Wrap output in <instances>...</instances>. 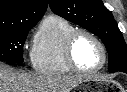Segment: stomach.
Instances as JSON below:
<instances>
[{
  "mask_svg": "<svg viewBox=\"0 0 127 92\" xmlns=\"http://www.w3.org/2000/svg\"><path fill=\"white\" fill-rule=\"evenodd\" d=\"M101 86L99 80L95 77L84 79L80 84L77 86V90L82 92H99L97 91L98 88Z\"/></svg>",
  "mask_w": 127,
  "mask_h": 92,
  "instance_id": "0dacf381",
  "label": "stomach"
}]
</instances>
